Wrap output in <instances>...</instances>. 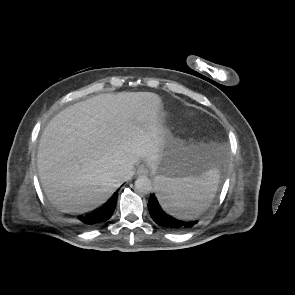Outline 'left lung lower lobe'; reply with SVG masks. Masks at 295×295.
<instances>
[{
    "instance_id": "1",
    "label": "left lung lower lobe",
    "mask_w": 295,
    "mask_h": 295,
    "mask_svg": "<svg viewBox=\"0 0 295 295\" xmlns=\"http://www.w3.org/2000/svg\"><path fill=\"white\" fill-rule=\"evenodd\" d=\"M148 209L151 217L157 224L171 231H184L198 222L182 220V218L170 214L162 207L155 194H152L149 199Z\"/></svg>"
}]
</instances>
